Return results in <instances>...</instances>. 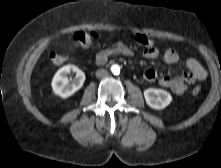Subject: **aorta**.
<instances>
[{
  "label": "aorta",
  "instance_id": "762f6f07",
  "mask_svg": "<svg viewBox=\"0 0 221 168\" xmlns=\"http://www.w3.org/2000/svg\"><path fill=\"white\" fill-rule=\"evenodd\" d=\"M111 71L113 74L118 75L120 73V66L118 64H114L111 66Z\"/></svg>",
  "mask_w": 221,
  "mask_h": 168
}]
</instances>
